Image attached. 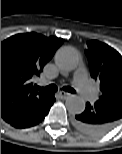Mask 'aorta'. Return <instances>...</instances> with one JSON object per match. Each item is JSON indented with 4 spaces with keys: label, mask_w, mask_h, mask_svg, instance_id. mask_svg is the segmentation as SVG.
I'll return each instance as SVG.
<instances>
[{
    "label": "aorta",
    "mask_w": 122,
    "mask_h": 154,
    "mask_svg": "<svg viewBox=\"0 0 122 154\" xmlns=\"http://www.w3.org/2000/svg\"><path fill=\"white\" fill-rule=\"evenodd\" d=\"M79 55L72 47H62L55 55L56 66L65 72H71L79 65ZM68 112L80 114L85 110V100L77 95H69L65 102Z\"/></svg>",
    "instance_id": "1"
}]
</instances>
